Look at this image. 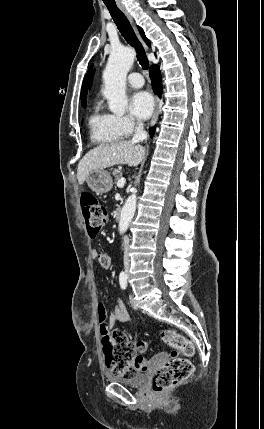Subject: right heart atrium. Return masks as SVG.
<instances>
[{
  "label": "right heart atrium",
  "mask_w": 264,
  "mask_h": 429,
  "mask_svg": "<svg viewBox=\"0 0 264 429\" xmlns=\"http://www.w3.org/2000/svg\"><path fill=\"white\" fill-rule=\"evenodd\" d=\"M116 127L122 136L131 135L137 128V122L129 115H114Z\"/></svg>",
  "instance_id": "d8ad5b80"
}]
</instances>
